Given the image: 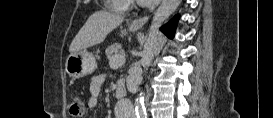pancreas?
Listing matches in <instances>:
<instances>
[{
  "label": "pancreas",
  "mask_w": 273,
  "mask_h": 118,
  "mask_svg": "<svg viewBox=\"0 0 273 118\" xmlns=\"http://www.w3.org/2000/svg\"><path fill=\"white\" fill-rule=\"evenodd\" d=\"M121 52V45L118 43H114L110 46L105 51V54L108 59L113 58L115 55H120Z\"/></svg>",
  "instance_id": "obj_1"
}]
</instances>
